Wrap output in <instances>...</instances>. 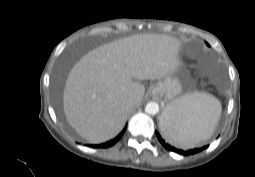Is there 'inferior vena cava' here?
Segmentation results:
<instances>
[{
    "label": "inferior vena cava",
    "instance_id": "1",
    "mask_svg": "<svg viewBox=\"0 0 255 177\" xmlns=\"http://www.w3.org/2000/svg\"><path fill=\"white\" fill-rule=\"evenodd\" d=\"M128 104L132 106L134 104V99L133 98L128 99Z\"/></svg>",
    "mask_w": 255,
    "mask_h": 177
}]
</instances>
